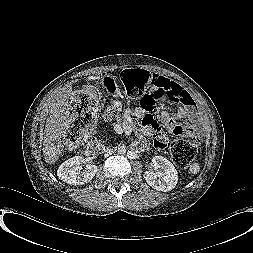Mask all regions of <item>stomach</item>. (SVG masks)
<instances>
[{
  "mask_svg": "<svg viewBox=\"0 0 253 253\" xmlns=\"http://www.w3.org/2000/svg\"><path fill=\"white\" fill-rule=\"evenodd\" d=\"M102 85L115 97L120 95L118 86L111 76H105L101 80Z\"/></svg>",
  "mask_w": 253,
  "mask_h": 253,
  "instance_id": "0dacf381",
  "label": "stomach"
}]
</instances>
